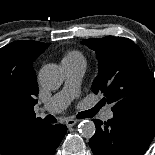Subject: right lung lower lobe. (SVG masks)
<instances>
[{
    "instance_id": "98d812e1",
    "label": "right lung lower lobe",
    "mask_w": 155,
    "mask_h": 155,
    "mask_svg": "<svg viewBox=\"0 0 155 155\" xmlns=\"http://www.w3.org/2000/svg\"><path fill=\"white\" fill-rule=\"evenodd\" d=\"M66 132L64 125H44L29 138L24 155H54Z\"/></svg>"
}]
</instances>
